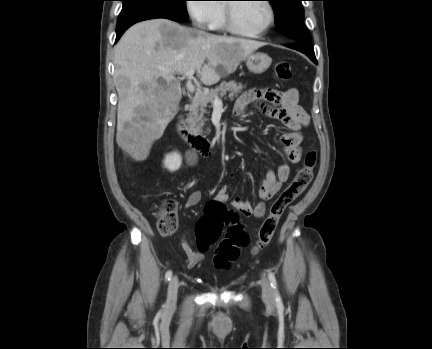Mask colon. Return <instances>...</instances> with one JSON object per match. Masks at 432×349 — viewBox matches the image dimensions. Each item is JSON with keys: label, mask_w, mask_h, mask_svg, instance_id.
Wrapping results in <instances>:
<instances>
[{"label": "colon", "mask_w": 432, "mask_h": 349, "mask_svg": "<svg viewBox=\"0 0 432 349\" xmlns=\"http://www.w3.org/2000/svg\"><path fill=\"white\" fill-rule=\"evenodd\" d=\"M274 74L281 81L290 80L292 77L291 65L286 61L277 62L274 66ZM316 162L317 152L314 148H310L292 182L271 205L268 215L258 230L256 242L252 247V254H258L270 243L286 208L311 183ZM157 215L158 229L161 234L171 235L177 230L178 213L177 203L174 200L164 201ZM236 219L235 211L228 209L222 203L212 201L207 205L205 215L197 223V244L201 251L207 250L218 240L224 224H230L225 237L219 242L214 252L213 262L217 269L229 268L239 257L240 250L248 244L247 233L234 224Z\"/></svg>", "instance_id": "colon-1"}]
</instances>
